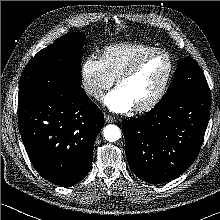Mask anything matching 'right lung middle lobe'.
Returning <instances> with one entry per match:
<instances>
[{
  "label": "right lung middle lobe",
  "mask_w": 220,
  "mask_h": 220,
  "mask_svg": "<svg viewBox=\"0 0 220 220\" xmlns=\"http://www.w3.org/2000/svg\"><path fill=\"white\" fill-rule=\"evenodd\" d=\"M85 41L84 34L70 33L39 51L22 73L18 98L82 91L81 50Z\"/></svg>",
  "instance_id": "dd1d6c3e"
}]
</instances>
